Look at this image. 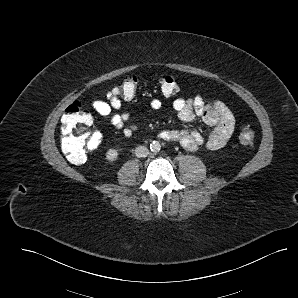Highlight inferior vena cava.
Segmentation results:
<instances>
[{"label": "inferior vena cava", "instance_id": "obj_1", "mask_svg": "<svg viewBox=\"0 0 298 298\" xmlns=\"http://www.w3.org/2000/svg\"><path fill=\"white\" fill-rule=\"evenodd\" d=\"M148 154H149V150L145 146H138V147L135 148V155L138 158L147 157Z\"/></svg>", "mask_w": 298, "mask_h": 298}]
</instances>
